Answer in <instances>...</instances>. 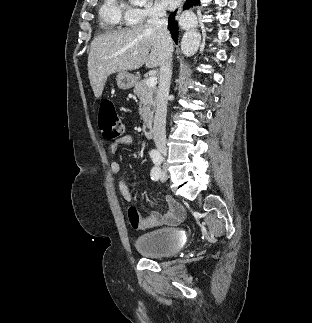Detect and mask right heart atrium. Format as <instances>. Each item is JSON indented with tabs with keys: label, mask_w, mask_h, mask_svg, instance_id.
Listing matches in <instances>:
<instances>
[{
	"label": "right heart atrium",
	"mask_w": 312,
	"mask_h": 323,
	"mask_svg": "<svg viewBox=\"0 0 312 323\" xmlns=\"http://www.w3.org/2000/svg\"><path fill=\"white\" fill-rule=\"evenodd\" d=\"M123 17H130V22H152V17H165L164 6H155L150 2L148 6H133L131 10H123Z\"/></svg>",
	"instance_id": "right-heart-atrium-1"
}]
</instances>
